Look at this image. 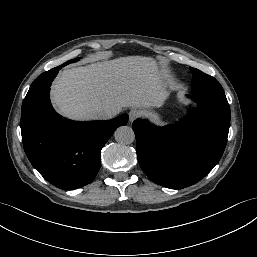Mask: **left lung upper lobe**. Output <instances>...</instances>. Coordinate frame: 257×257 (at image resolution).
Instances as JSON below:
<instances>
[{"instance_id": "obj_1", "label": "left lung upper lobe", "mask_w": 257, "mask_h": 257, "mask_svg": "<svg viewBox=\"0 0 257 257\" xmlns=\"http://www.w3.org/2000/svg\"><path fill=\"white\" fill-rule=\"evenodd\" d=\"M190 70L193 75V94H224L222 86L214 77L192 67H190Z\"/></svg>"}]
</instances>
